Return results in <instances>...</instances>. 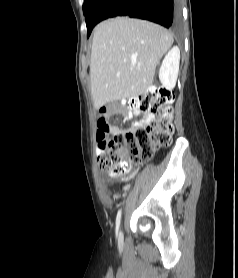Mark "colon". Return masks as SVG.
I'll list each match as a JSON object with an SVG mask.
<instances>
[{
  "label": "colon",
  "instance_id": "5ec220e1",
  "mask_svg": "<svg viewBox=\"0 0 238 278\" xmlns=\"http://www.w3.org/2000/svg\"><path fill=\"white\" fill-rule=\"evenodd\" d=\"M127 103L135 110L151 114L153 121L147 127L120 131L110 139L106 138L109 130L107 122H97V139L102 150L99 167L111 176L124 174L132 166L151 159L155 150L171 143L174 132L172 92L165 89L149 90Z\"/></svg>",
  "mask_w": 238,
  "mask_h": 278
}]
</instances>
